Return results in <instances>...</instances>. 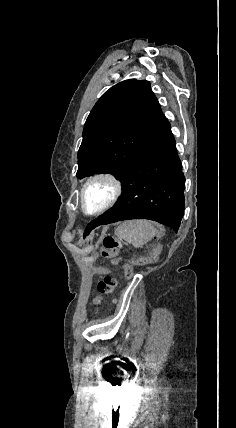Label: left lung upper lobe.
Masks as SVG:
<instances>
[{
    "mask_svg": "<svg viewBox=\"0 0 236 428\" xmlns=\"http://www.w3.org/2000/svg\"><path fill=\"white\" fill-rule=\"evenodd\" d=\"M162 115L148 81L129 79L111 87L86 120L78 151L77 177L110 173L121 180Z\"/></svg>",
    "mask_w": 236,
    "mask_h": 428,
    "instance_id": "obj_1",
    "label": "left lung upper lobe"
}]
</instances>
